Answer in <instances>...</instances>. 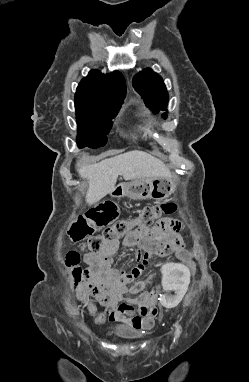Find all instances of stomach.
<instances>
[{
	"label": "stomach",
	"instance_id": "1",
	"mask_svg": "<svg viewBox=\"0 0 249 382\" xmlns=\"http://www.w3.org/2000/svg\"><path fill=\"white\" fill-rule=\"evenodd\" d=\"M175 183L169 178H141L128 183L117 184L111 197H128L133 200L154 199L160 201L175 190Z\"/></svg>",
	"mask_w": 249,
	"mask_h": 382
}]
</instances>
